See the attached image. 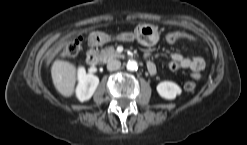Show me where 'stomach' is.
<instances>
[{"mask_svg": "<svg viewBox=\"0 0 247 145\" xmlns=\"http://www.w3.org/2000/svg\"><path fill=\"white\" fill-rule=\"evenodd\" d=\"M127 37L136 38L142 45L154 46L159 41L158 27L144 23L135 29L134 34H123L121 36L123 39Z\"/></svg>", "mask_w": 247, "mask_h": 145, "instance_id": "1", "label": "stomach"}]
</instances>
